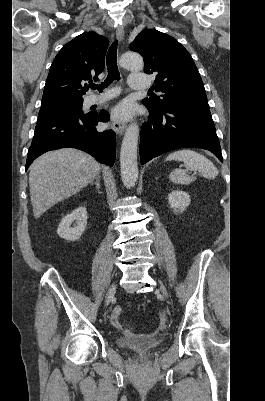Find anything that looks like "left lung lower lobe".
<instances>
[{"label":"left lung lower lobe","mask_w":265,"mask_h":401,"mask_svg":"<svg viewBox=\"0 0 265 401\" xmlns=\"http://www.w3.org/2000/svg\"><path fill=\"white\" fill-rule=\"evenodd\" d=\"M148 109L149 120L140 137L141 164L178 148L206 149L223 161L208 104L187 102L163 110Z\"/></svg>","instance_id":"left-lung-lower-lobe-1"}]
</instances>
